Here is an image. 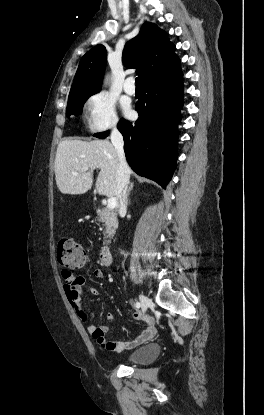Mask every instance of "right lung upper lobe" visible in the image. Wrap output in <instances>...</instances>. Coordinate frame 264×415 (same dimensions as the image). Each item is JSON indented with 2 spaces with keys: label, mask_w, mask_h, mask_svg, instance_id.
I'll use <instances>...</instances> for the list:
<instances>
[{
  "label": "right lung upper lobe",
  "mask_w": 264,
  "mask_h": 415,
  "mask_svg": "<svg viewBox=\"0 0 264 415\" xmlns=\"http://www.w3.org/2000/svg\"><path fill=\"white\" fill-rule=\"evenodd\" d=\"M106 54V48L99 44L82 57L69 97L100 91ZM123 62L126 67L137 69L142 85L170 77L181 70L180 59L168 34L151 22H145L139 34L125 45Z\"/></svg>",
  "instance_id": "right-lung-upper-lobe-1"
}]
</instances>
